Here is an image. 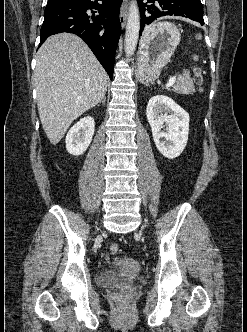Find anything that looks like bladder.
<instances>
[{"instance_id": "31cf9c89", "label": "bladder", "mask_w": 247, "mask_h": 332, "mask_svg": "<svg viewBox=\"0 0 247 332\" xmlns=\"http://www.w3.org/2000/svg\"><path fill=\"white\" fill-rule=\"evenodd\" d=\"M130 260L125 258L118 265L104 269L97 274L96 281L102 287H115L129 281Z\"/></svg>"}]
</instances>
